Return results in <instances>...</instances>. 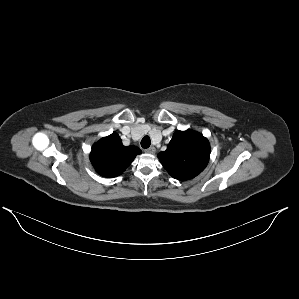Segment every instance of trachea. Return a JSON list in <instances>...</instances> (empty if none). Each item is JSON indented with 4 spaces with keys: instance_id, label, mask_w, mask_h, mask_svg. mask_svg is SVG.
Here are the masks:
<instances>
[{
    "instance_id": "obj_1",
    "label": "trachea",
    "mask_w": 299,
    "mask_h": 299,
    "mask_svg": "<svg viewBox=\"0 0 299 299\" xmlns=\"http://www.w3.org/2000/svg\"><path fill=\"white\" fill-rule=\"evenodd\" d=\"M151 145V140L149 136H144L143 139L141 140V146L142 148H149V146Z\"/></svg>"
}]
</instances>
